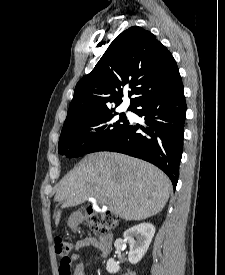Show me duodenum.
Segmentation results:
<instances>
[{"instance_id":"obj_1","label":"duodenum","mask_w":225,"mask_h":275,"mask_svg":"<svg viewBox=\"0 0 225 275\" xmlns=\"http://www.w3.org/2000/svg\"><path fill=\"white\" fill-rule=\"evenodd\" d=\"M85 217L83 214L80 216V220L83 221ZM100 252L103 257L108 256L112 251L113 236L109 233H101L99 235Z\"/></svg>"}]
</instances>
